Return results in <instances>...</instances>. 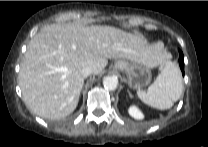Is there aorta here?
<instances>
[{"label": "aorta", "instance_id": "obj_1", "mask_svg": "<svg viewBox=\"0 0 208 147\" xmlns=\"http://www.w3.org/2000/svg\"><path fill=\"white\" fill-rule=\"evenodd\" d=\"M104 88L107 90H115L118 85V79L115 76H107L103 79Z\"/></svg>", "mask_w": 208, "mask_h": 147}]
</instances>
